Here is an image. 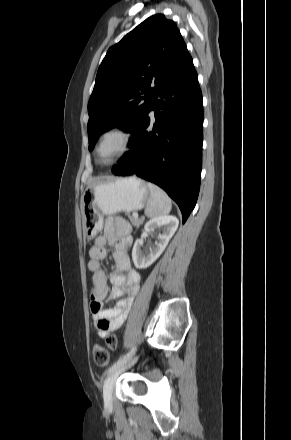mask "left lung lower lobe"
I'll list each match as a JSON object with an SVG mask.
<instances>
[{"instance_id": "left-lung-lower-lobe-1", "label": "left lung lower lobe", "mask_w": 291, "mask_h": 440, "mask_svg": "<svg viewBox=\"0 0 291 440\" xmlns=\"http://www.w3.org/2000/svg\"><path fill=\"white\" fill-rule=\"evenodd\" d=\"M202 143V94L187 52L155 91L138 131L129 141L132 150L113 166L112 173L137 175L163 188L178 204L184 223L199 194Z\"/></svg>"}]
</instances>
